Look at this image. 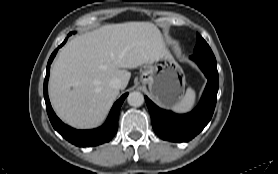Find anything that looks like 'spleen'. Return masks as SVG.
Instances as JSON below:
<instances>
[{
	"label": "spleen",
	"mask_w": 278,
	"mask_h": 174,
	"mask_svg": "<svg viewBox=\"0 0 278 174\" xmlns=\"http://www.w3.org/2000/svg\"><path fill=\"white\" fill-rule=\"evenodd\" d=\"M196 101V92L194 89L189 87L186 90L185 95L173 106L172 110L175 113L184 114L190 112Z\"/></svg>",
	"instance_id": "spleen-1"
}]
</instances>
